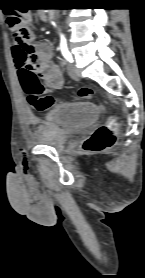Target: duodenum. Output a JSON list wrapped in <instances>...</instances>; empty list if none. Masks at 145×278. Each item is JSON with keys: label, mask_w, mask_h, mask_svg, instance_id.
<instances>
[{"label": "duodenum", "mask_w": 145, "mask_h": 278, "mask_svg": "<svg viewBox=\"0 0 145 278\" xmlns=\"http://www.w3.org/2000/svg\"><path fill=\"white\" fill-rule=\"evenodd\" d=\"M45 17V20L48 22V23H52L53 22V19H54V13H52L51 15H46L44 16Z\"/></svg>", "instance_id": "410a0bca"}]
</instances>
